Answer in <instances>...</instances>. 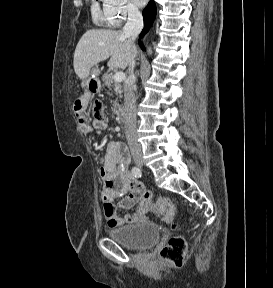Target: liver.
Here are the masks:
<instances>
[{"instance_id":"liver-1","label":"liver","mask_w":273,"mask_h":288,"mask_svg":"<svg viewBox=\"0 0 273 288\" xmlns=\"http://www.w3.org/2000/svg\"><path fill=\"white\" fill-rule=\"evenodd\" d=\"M133 52L131 40L123 36L122 31L91 29L76 46L74 70L80 79H86L94 65L108 58L109 68L125 69L130 65Z\"/></svg>"}]
</instances>
